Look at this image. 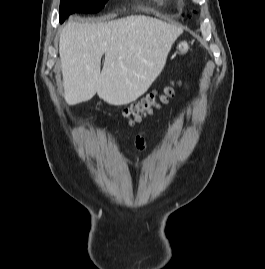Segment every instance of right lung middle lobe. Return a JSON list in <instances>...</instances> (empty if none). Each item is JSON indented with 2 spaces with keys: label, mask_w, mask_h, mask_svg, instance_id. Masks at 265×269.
Segmentation results:
<instances>
[{
  "label": "right lung middle lobe",
  "mask_w": 265,
  "mask_h": 269,
  "mask_svg": "<svg viewBox=\"0 0 265 269\" xmlns=\"http://www.w3.org/2000/svg\"><path fill=\"white\" fill-rule=\"evenodd\" d=\"M108 0H61L60 21L63 22L74 12L95 13L100 11Z\"/></svg>",
  "instance_id": "dd1d6c3e"
}]
</instances>
